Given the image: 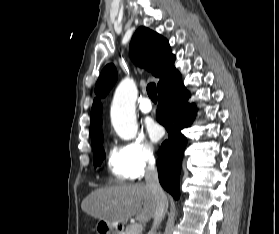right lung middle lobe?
Wrapping results in <instances>:
<instances>
[{
	"label": "right lung middle lobe",
	"mask_w": 279,
	"mask_h": 234,
	"mask_svg": "<svg viewBox=\"0 0 279 234\" xmlns=\"http://www.w3.org/2000/svg\"><path fill=\"white\" fill-rule=\"evenodd\" d=\"M102 143H103V137L98 139L94 144H92L95 167L99 166L102 163L104 156H105L104 149L101 146Z\"/></svg>",
	"instance_id": "obj_1"
}]
</instances>
